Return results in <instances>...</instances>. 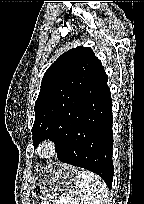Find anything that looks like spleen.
<instances>
[{
    "mask_svg": "<svg viewBox=\"0 0 144 204\" xmlns=\"http://www.w3.org/2000/svg\"><path fill=\"white\" fill-rule=\"evenodd\" d=\"M78 178L77 189L69 194L62 195L54 201V204L107 203V186L98 175L90 171L82 170L78 174Z\"/></svg>",
    "mask_w": 144,
    "mask_h": 204,
    "instance_id": "3e777b00",
    "label": "spleen"
}]
</instances>
